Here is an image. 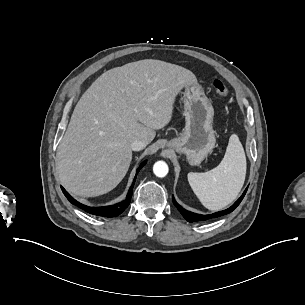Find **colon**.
Wrapping results in <instances>:
<instances>
[{
	"label": "colon",
	"mask_w": 305,
	"mask_h": 305,
	"mask_svg": "<svg viewBox=\"0 0 305 305\" xmlns=\"http://www.w3.org/2000/svg\"><path fill=\"white\" fill-rule=\"evenodd\" d=\"M212 86L221 100H226L229 97V88L222 80L214 79L212 81Z\"/></svg>",
	"instance_id": "obj_1"
}]
</instances>
